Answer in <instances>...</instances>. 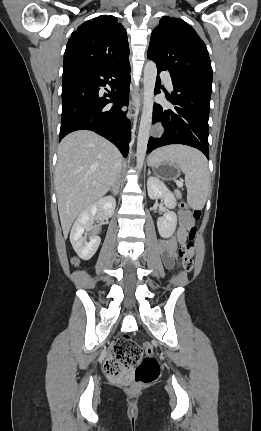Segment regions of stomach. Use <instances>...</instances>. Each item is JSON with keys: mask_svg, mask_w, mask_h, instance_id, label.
Segmentation results:
<instances>
[{"mask_svg": "<svg viewBox=\"0 0 261 431\" xmlns=\"http://www.w3.org/2000/svg\"><path fill=\"white\" fill-rule=\"evenodd\" d=\"M157 177L163 180H174L179 176L180 169L176 164L162 161L152 165Z\"/></svg>", "mask_w": 261, "mask_h": 431, "instance_id": "stomach-1", "label": "stomach"}]
</instances>
